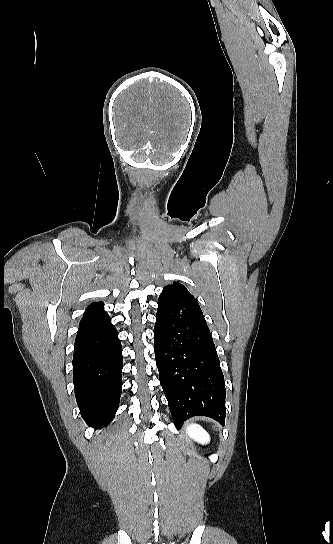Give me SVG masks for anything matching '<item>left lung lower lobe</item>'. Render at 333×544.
Listing matches in <instances>:
<instances>
[{
  "label": "left lung lower lobe",
  "mask_w": 333,
  "mask_h": 544,
  "mask_svg": "<svg viewBox=\"0 0 333 544\" xmlns=\"http://www.w3.org/2000/svg\"><path fill=\"white\" fill-rule=\"evenodd\" d=\"M154 351L175 426L199 415L224 425V376L196 299L167 296L158 301Z\"/></svg>",
  "instance_id": "left-lung-lower-lobe-1"
}]
</instances>
